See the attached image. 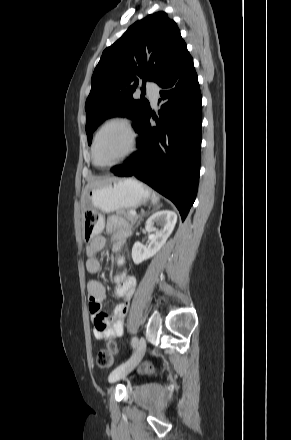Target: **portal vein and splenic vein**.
<instances>
[{
  "mask_svg": "<svg viewBox=\"0 0 291 440\" xmlns=\"http://www.w3.org/2000/svg\"><path fill=\"white\" fill-rule=\"evenodd\" d=\"M130 214H131L132 216H136V215H137V213H136L135 210H131V211H130Z\"/></svg>",
  "mask_w": 291,
  "mask_h": 440,
  "instance_id": "obj_1",
  "label": "portal vein and splenic vein"
}]
</instances>
